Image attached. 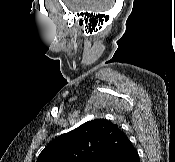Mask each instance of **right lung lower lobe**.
<instances>
[{"instance_id": "98d812e1", "label": "right lung lower lobe", "mask_w": 175, "mask_h": 162, "mask_svg": "<svg viewBox=\"0 0 175 162\" xmlns=\"http://www.w3.org/2000/svg\"><path fill=\"white\" fill-rule=\"evenodd\" d=\"M112 162H140L138 152L133 147L128 152L117 156Z\"/></svg>"}]
</instances>
